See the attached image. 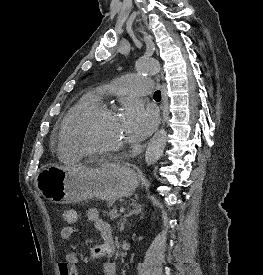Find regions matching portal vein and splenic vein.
<instances>
[{
	"instance_id": "18ae733b",
	"label": "portal vein and splenic vein",
	"mask_w": 263,
	"mask_h": 275,
	"mask_svg": "<svg viewBox=\"0 0 263 275\" xmlns=\"http://www.w3.org/2000/svg\"><path fill=\"white\" fill-rule=\"evenodd\" d=\"M119 211H120V213H123L125 211V208L124 207H120Z\"/></svg>"
}]
</instances>
